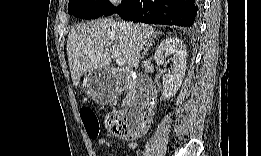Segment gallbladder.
<instances>
[{
  "mask_svg": "<svg viewBox=\"0 0 261 156\" xmlns=\"http://www.w3.org/2000/svg\"><path fill=\"white\" fill-rule=\"evenodd\" d=\"M137 73L131 74V80L132 82H135L136 78L139 77L138 75H136Z\"/></svg>",
  "mask_w": 261,
  "mask_h": 156,
  "instance_id": "1",
  "label": "gallbladder"
}]
</instances>
